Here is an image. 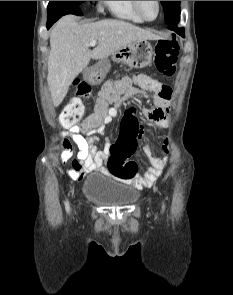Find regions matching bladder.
<instances>
[{
  "instance_id": "obj_1",
  "label": "bladder",
  "mask_w": 233,
  "mask_h": 295,
  "mask_svg": "<svg viewBox=\"0 0 233 295\" xmlns=\"http://www.w3.org/2000/svg\"><path fill=\"white\" fill-rule=\"evenodd\" d=\"M82 190L86 199L114 207L132 205L140 195L135 187L101 174L88 177Z\"/></svg>"
}]
</instances>
